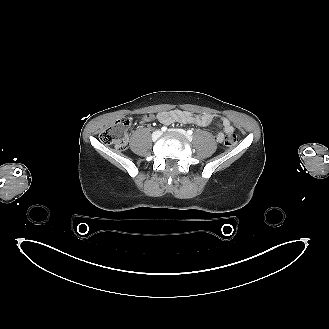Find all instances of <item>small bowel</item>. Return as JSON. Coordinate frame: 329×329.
Masks as SVG:
<instances>
[{
    "instance_id": "c3829d8e",
    "label": "small bowel",
    "mask_w": 329,
    "mask_h": 329,
    "mask_svg": "<svg viewBox=\"0 0 329 329\" xmlns=\"http://www.w3.org/2000/svg\"><path fill=\"white\" fill-rule=\"evenodd\" d=\"M157 119L160 123L170 125L172 123H190L197 126L206 127L212 122L218 121L221 131L217 133L216 139L219 143H222L226 135L234 132V127L228 118L223 116H216L213 114H194L185 110H171L162 111L158 113Z\"/></svg>"
}]
</instances>
